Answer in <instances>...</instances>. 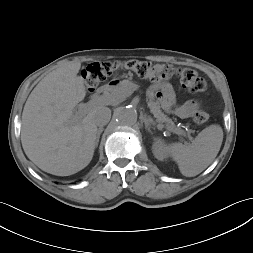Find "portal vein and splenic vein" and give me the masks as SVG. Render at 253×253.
Wrapping results in <instances>:
<instances>
[{"label":"portal vein and splenic vein","mask_w":253,"mask_h":253,"mask_svg":"<svg viewBox=\"0 0 253 253\" xmlns=\"http://www.w3.org/2000/svg\"><path fill=\"white\" fill-rule=\"evenodd\" d=\"M101 100V99H100ZM91 108L89 103H80L77 114L73 117V121L77 122L84 114H86ZM179 135H185V132H177Z\"/></svg>","instance_id":"18ae733b"}]
</instances>
